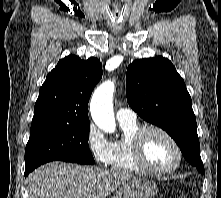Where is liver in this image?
Listing matches in <instances>:
<instances>
[{"mask_svg":"<svg viewBox=\"0 0 221 198\" xmlns=\"http://www.w3.org/2000/svg\"><path fill=\"white\" fill-rule=\"evenodd\" d=\"M127 172L50 162L27 178L29 198H106L126 182Z\"/></svg>","mask_w":221,"mask_h":198,"instance_id":"liver-1","label":"liver"}]
</instances>
